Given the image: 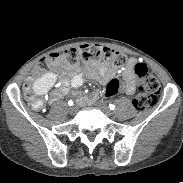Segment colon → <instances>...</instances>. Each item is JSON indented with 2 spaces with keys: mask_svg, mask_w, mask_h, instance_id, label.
Returning <instances> with one entry per match:
<instances>
[{
  "mask_svg": "<svg viewBox=\"0 0 183 183\" xmlns=\"http://www.w3.org/2000/svg\"><path fill=\"white\" fill-rule=\"evenodd\" d=\"M79 62L98 63L102 62L114 67H122L128 62L124 53L105 48L97 44H85L78 48L67 49L62 52L51 53L41 58L33 70V74L48 71L53 66H75ZM134 71L142 79L136 95L133 99L134 106L143 110L156 103L157 95L160 93L161 86L158 79L148 71L143 63H136ZM121 90V82L112 79L106 86L105 96L112 97ZM25 95L34 108L42 105V100L31 94L28 83L25 85Z\"/></svg>",
  "mask_w": 183,
  "mask_h": 183,
  "instance_id": "colon-1",
  "label": "colon"
}]
</instances>
